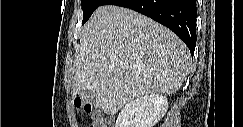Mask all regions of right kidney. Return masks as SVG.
Here are the masks:
<instances>
[{
    "label": "right kidney",
    "instance_id": "1",
    "mask_svg": "<svg viewBox=\"0 0 243 127\" xmlns=\"http://www.w3.org/2000/svg\"><path fill=\"white\" fill-rule=\"evenodd\" d=\"M168 101L161 94L143 96L125 104L116 127H153L165 115Z\"/></svg>",
    "mask_w": 243,
    "mask_h": 127
}]
</instances>
